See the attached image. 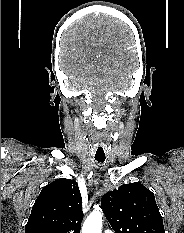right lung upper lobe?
Segmentation results:
<instances>
[{"label":"right lung upper lobe","mask_w":184,"mask_h":233,"mask_svg":"<svg viewBox=\"0 0 184 233\" xmlns=\"http://www.w3.org/2000/svg\"><path fill=\"white\" fill-rule=\"evenodd\" d=\"M82 198L75 180L46 185L32 207L25 233H80Z\"/></svg>","instance_id":"cb5924a9"}]
</instances>
